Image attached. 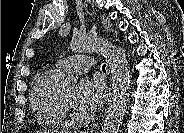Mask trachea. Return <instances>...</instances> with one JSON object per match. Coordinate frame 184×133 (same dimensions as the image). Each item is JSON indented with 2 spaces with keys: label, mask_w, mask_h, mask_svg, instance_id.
<instances>
[{
  "label": "trachea",
  "mask_w": 184,
  "mask_h": 133,
  "mask_svg": "<svg viewBox=\"0 0 184 133\" xmlns=\"http://www.w3.org/2000/svg\"><path fill=\"white\" fill-rule=\"evenodd\" d=\"M102 70L106 71V66L105 65L102 66Z\"/></svg>",
  "instance_id": "obj_1"
}]
</instances>
